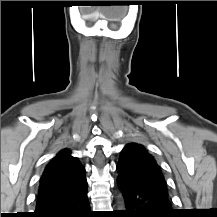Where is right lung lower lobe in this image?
I'll use <instances>...</instances> for the list:
<instances>
[{
	"instance_id": "1",
	"label": "right lung lower lobe",
	"mask_w": 217,
	"mask_h": 217,
	"mask_svg": "<svg viewBox=\"0 0 217 217\" xmlns=\"http://www.w3.org/2000/svg\"><path fill=\"white\" fill-rule=\"evenodd\" d=\"M30 217H92L87 190L78 195L36 208Z\"/></svg>"
}]
</instances>
